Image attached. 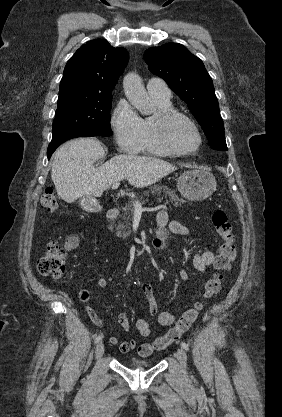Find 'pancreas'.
Returning <instances> with one entry per match:
<instances>
[{"mask_svg":"<svg viewBox=\"0 0 282 417\" xmlns=\"http://www.w3.org/2000/svg\"><path fill=\"white\" fill-rule=\"evenodd\" d=\"M149 192H153V194H159L160 202L163 200V198H169V200H166V202H172L174 206H181L182 202H186L184 198H179L178 194H176V190H171V188H168V186H159V184H154V186H150V190H144L145 196L149 194ZM143 196H139L137 200H141ZM135 200H130L126 206H123V213L122 215H119V219L121 221H118V225L116 227V235L117 237H122V239H127V237H130L131 235V217L135 211L134 206Z\"/></svg>","mask_w":282,"mask_h":417,"instance_id":"pancreas-1","label":"pancreas"}]
</instances>
